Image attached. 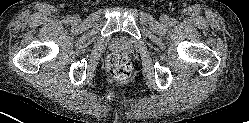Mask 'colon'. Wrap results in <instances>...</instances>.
Wrapping results in <instances>:
<instances>
[{"label": "colon", "mask_w": 249, "mask_h": 123, "mask_svg": "<svg viewBox=\"0 0 249 123\" xmlns=\"http://www.w3.org/2000/svg\"><path fill=\"white\" fill-rule=\"evenodd\" d=\"M106 71L115 83L127 81L132 73V66L128 57L123 53L111 54L106 61Z\"/></svg>", "instance_id": "colon-1"}]
</instances>
